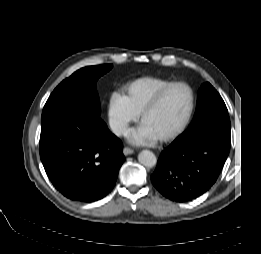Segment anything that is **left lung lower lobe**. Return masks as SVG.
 I'll return each mask as SVG.
<instances>
[{
	"label": "left lung lower lobe",
	"instance_id": "1",
	"mask_svg": "<svg viewBox=\"0 0 261 254\" xmlns=\"http://www.w3.org/2000/svg\"><path fill=\"white\" fill-rule=\"evenodd\" d=\"M230 150V129L210 128L197 135L181 134L160 155L152 184L176 202L192 200L217 180Z\"/></svg>",
	"mask_w": 261,
	"mask_h": 254
}]
</instances>
